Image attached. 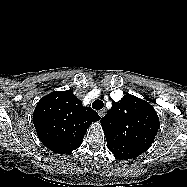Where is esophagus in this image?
I'll list each match as a JSON object with an SVG mask.
<instances>
[{
	"label": "esophagus",
	"mask_w": 187,
	"mask_h": 187,
	"mask_svg": "<svg viewBox=\"0 0 187 187\" xmlns=\"http://www.w3.org/2000/svg\"><path fill=\"white\" fill-rule=\"evenodd\" d=\"M105 113H106V110H105V109H102V110H99V111H98V114H99V116H100L101 118L105 115Z\"/></svg>",
	"instance_id": "esophagus-1"
}]
</instances>
